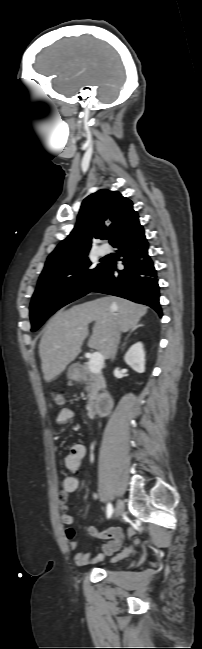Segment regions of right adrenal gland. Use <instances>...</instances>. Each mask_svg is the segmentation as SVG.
<instances>
[{
	"label": "right adrenal gland",
	"instance_id": "right-adrenal-gland-1",
	"mask_svg": "<svg viewBox=\"0 0 202 649\" xmlns=\"http://www.w3.org/2000/svg\"><path fill=\"white\" fill-rule=\"evenodd\" d=\"M142 326H143V324H138V325L134 326L133 328H131L130 333L128 334L127 338L130 336V334H131L132 332H134L136 329H138L139 327H142ZM127 338H126V339H127ZM125 344H126V343L124 342L123 345H122V347H124Z\"/></svg>",
	"mask_w": 202,
	"mask_h": 649
}]
</instances>
